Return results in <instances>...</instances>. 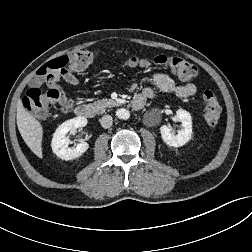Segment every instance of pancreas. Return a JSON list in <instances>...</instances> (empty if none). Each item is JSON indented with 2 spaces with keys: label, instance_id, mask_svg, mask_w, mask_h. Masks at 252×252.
<instances>
[{
  "label": "pancreas",
  "instance_id": "pancreas-1",
  "mask_svg": "<svg viewBox=\"0 0 252 252\" xmlns=\"http://www.w3.org/2000/svg\"><path fill=\"white\" fill-rule=\"evenodd\" d=\"M93 106L97 114H102L106 111L107 108L118 106V103L112 99L105 98L97 100L93 103Z\"/></svg>",
  "mask_w": 252,
  "mask_h": 252
}]
</instances>
